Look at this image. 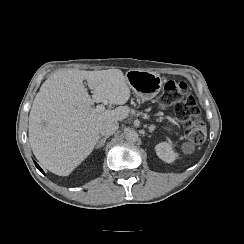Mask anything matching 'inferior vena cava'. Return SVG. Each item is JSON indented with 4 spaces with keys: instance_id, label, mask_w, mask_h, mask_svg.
Here are the masks:
<instances>
[{
    "instance_id": "obj_1",
    "label": "inferior vena cava",
    "mask_w": 244,
    "mask_h": 244,
    "mask_svg": "<svg viewBox=\"0 0 244 244\" xmlns=\"http://www.w3.org/2000/svg\"><path fill=\"white\" fill-rule=\"evenodd\" d=\"M119 128V124L117 121L109 120L101 123L99 125V133L103 136L113 135Z\"/></svg>"
}]
</instances>
